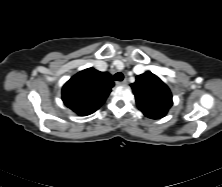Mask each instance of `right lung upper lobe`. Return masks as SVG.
<instances>
[{
  "mask_svg": "<svg viewBox=\"0 0 222 187\" xmlns=\"http://www.w3.org/2000/svg\"><path fill=\"white\" fill-rule=\"evenodd\" d=\"M113 86L114 82L109 73L88 68L65 83L62 100L75 113L86 116L95 112L105 102Z\"/></svg>",
  "mask_w": 222,
  "mask_h": 187,
  "instance_id": "1",
  "label": "right lung upper lobe"
}]
</instances>
